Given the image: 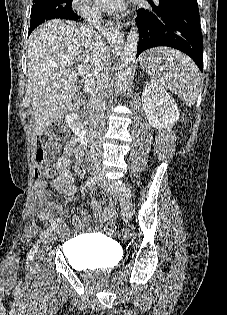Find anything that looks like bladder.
<instances>
[{"mask_svg": "<svg viewBox=\"0 0 227 315\" xmlns=\"http://www.w3.org/2000/svg\"><path fill=\"white\" fill-rule=\"evenodd\" d=\"M68 246L75 250L70 263L75 268L100 269L116 265L118 251L108 240L96 236H82L70 239Z\"/></svg>", "mask_w": 227, "mask_h": 315, "instance_id": "obj_1", "label": "bladder"}]
</instances>
